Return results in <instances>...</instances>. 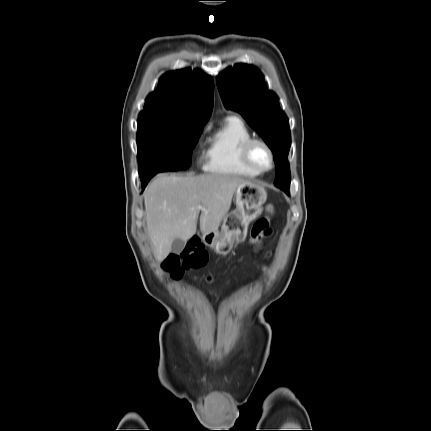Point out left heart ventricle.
<instances>
[{"label": "left heart ventricle", "instance_id": "b2bd125f", "mask_svg": "<svg viewBox=\"0 0 431 431\" xmlns=\"http://www.w3.org/2000/svg\"><path fill=\"white\" fill-rule=\"evenodd\" d=\"M251 158L259 167L266 168L270 164V156L262 145H254L251 150Z\"/></svg>", "mask_w": 431, "mask_h": 431}]
</instances>
